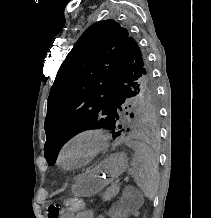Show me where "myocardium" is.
Segmentation results:
<instances>
[{
  "label": "myocardium",
  "instance_id": "f54148a6",
  "mask_svg": "<svg viewBox=\"0 0 211 218\" xmlns=\"http://www.w3.org/2000/svg\"><path fill=\"white\" fill-rule=\"evenodd\" d=\"M109 140V135L107 132L98 126H89L82 128L75 133H73L61 146L58 153V162L62 166L69 167L72 163L66 162V154L68 149L80 142H89L92 144V149L89 152L88 156L80 161L74 163L77 166H82L90 163L95 159L101 151L107 146Z\"/></svg>",
  "mask_w": 211,
  "mask_h": 218
}]
</instances>
